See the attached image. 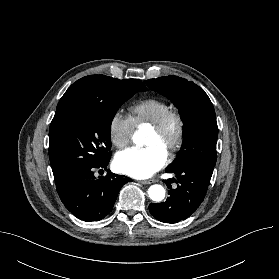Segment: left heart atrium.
I'll list each match as a JSON object with an SVG mask.
<instances>
[{"label": "left heart atrium", "mask_w": 279, "mask_h": 279, "mask_svg": "<svg viewBox=\"0 0 279 279\" xmlns=\"http://www.w3.org/2000/svg\"><path fill=\"white\" fill-rule=\"evenodd\" d=\"M167 161V152L156 145L131 147L119 152L114 160L115 168L125 175L144 179L160 170Z\"/></svg>", "instance_id": "left-heart-atrium-1"}]
</instances>
